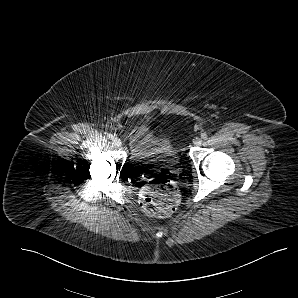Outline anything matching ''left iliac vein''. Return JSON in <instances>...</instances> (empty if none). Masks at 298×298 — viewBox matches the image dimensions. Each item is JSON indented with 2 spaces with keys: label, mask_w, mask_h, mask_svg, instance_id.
<instances>
[{
  "label": "left iliac vein",
  "mask_w": 298,
  "mask_h": 298,
  "mask_svg": "<svg viewBox=\"0 0 298 298\" xmlns=\"http://www.w3.org/2000/svg\"><path fill=\"white\" fill-rule=\"evenodd\" d=\"M202 139L201 138H196L195 140H194V145L195 146H200L201 144H202Z\"/></svg>",
  "instance_id": "left-iliac-vein-1"
}]
</instances>
